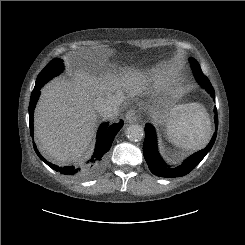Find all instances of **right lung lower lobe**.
<instances>
[{"instance_id": "98d812e1", "label": "right lung lower lobe", "mask_w": 245, "mask_h": 245, "mask_svg": "<svg viewBox=\"0 0 245 245\" xmlns=\"http://www.w3.org/2000/svg\"><path fill=\"white\" fill-rule=\"evenodd\" d=\"M46 82L40 81L39 83L35 84L34 90L32 91L30 97V104H29V123H30V133L33 137V113L35 105L38 101L40 95V89ZM123 121L121 120L119 123H115L109 126L108 123H104L100 126L98 133H97V142L94 154L92 157L83 165L79 167H59L54 165L47 160H45L39 151L37 150L36 145L33 143V147L35 152L39 156V158L44 161L48 166H50L53 170L59 171L62 174L71 176L77 179H87L90 178L101 171L104 166L106 153L109 151L114 137L118 133V131L122 128Z\"/></svg>"}]
</instances>
